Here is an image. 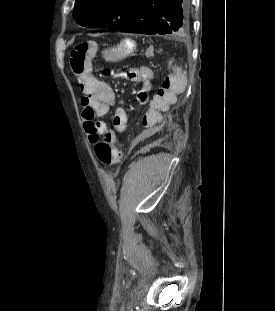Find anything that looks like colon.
I'll return each instance as SVG.
<instances>
[{
  "mask_svg": "<svg viewBox=\"0 0 275 311\" xmlns=\"http://www.w3.org/2000/svg\"><path fill=\"white\" fill-rule=\"evenodd\" d=\"M95 53L96 46L93 41L79 42L74 46L70 54V66L78 79L89 72ZM91 141L95 143V155L100 163L110 166L120 162L122 153L114 145L110 133L92 136Z\"/></svg>",
  "mask_w": 275,
  "mask_h": 311,
  "instance_id": "1",
  "label": "colon"
}]
</instances>
